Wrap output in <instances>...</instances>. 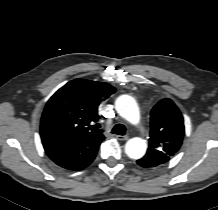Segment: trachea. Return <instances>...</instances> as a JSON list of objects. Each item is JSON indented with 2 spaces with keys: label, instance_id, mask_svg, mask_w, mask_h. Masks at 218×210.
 Wrapping results in <instances>:
<instances>
[{
  "label": "trachea",
  "instance_id": "1",
  "mask_svg": "<svg viewBox=\"0 0 218 210\" xmlns=\"http://www.w3.org/2000/svg\"><path fill=\"white\" fill-rule=\"evenodd\" d=\"M125 132H126V128L123 124L115 125L111 131V133L113 134L122 135V136L125 134Z\"/></svg>",
  "mask_w": 218,
  "mask_h": 210
}]
</instances>
